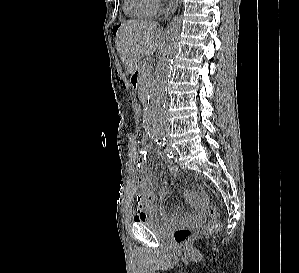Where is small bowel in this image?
<instances>
[{"label": "small bowel", "mask_w": 299, "mask_h": 273, "mask_svg": "<svg viewBox=\"0 0 299 273\" xmlns=\"http://www.w3.org/2000/svg\"><path fill=\"white\" fill-rule=\"evenodd\" d=\"M147 150L142 149L139 152L137 161H136V168L138 171H143L145 167L146 155ZM168 170L172 175L177 174L176 166L171 163L167 162ZM185 199L197 210H201V201L198 196L194 195L189 191L184 192ZM158 201L165 202L168 198V191L164 188L160 189L158 193ZM136 202V213L134 215V220L137 221L141 216L145 214V212H153L157 215L163 216L164 209L163 207L156 204L155 194L151 187V180L149 176H139L136 181V193L134 196ZM189 218H183L178 213H174L171 217L172 222H181L184 220H189Z\"/></svg>", "instance_id": "obj_1"}]
</instances>
